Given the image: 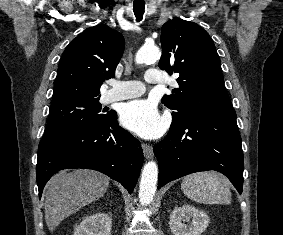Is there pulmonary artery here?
I'll return each instance as SVG.
<instances>
[{
  "instance_id": "1",
  "label": "pulmonary artery",
  "mask_w": 283,
  "mask_h": 235,
  "mask_svg": "<svg viewBox=\"0 0 283 235\" xmlns=\"http://www.w3.org/2000/svg\"><path fill=\"white\" fill-rule=\"evenodd\" d=\"M145 80L150 84H158L162 81L157 69L147 70L145 73ZM110 85L111 89L103 96V101L105 103L139 97L143 95L146 90L144 83L135 80H113Z\"/></svg>"
}]
</instances>
